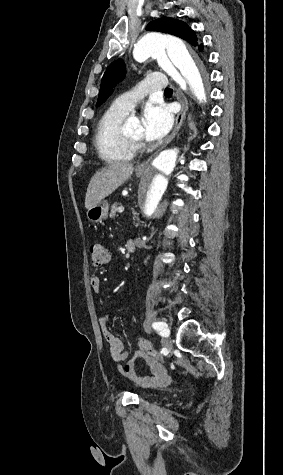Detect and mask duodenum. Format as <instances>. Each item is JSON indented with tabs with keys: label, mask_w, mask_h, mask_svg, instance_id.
I'll return each mask as SVG.
<instances>
[{
	"label": "duodenum",
	"mask_w": 283,
	"mask_h": 475,
	"mask_svg": "<svg viewBox=\"0 0 283 475\" xmlns=\"http://www.w3.org/2000/svg\"><path fill=\"white\" fill-rule=\"evenodd\" d=\"M126 249L129 253H133L136 250L135 239H129L126 243Z\"/></svg>",
	"instance_id": "410a0bca"
}]
</instances>
